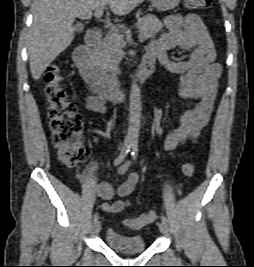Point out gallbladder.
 Returning a JSON list of instances; mask_svg holds the SVG:
<instances>
[{"label":"gallbladder","instance_id":"gallbladder-1","mask_svg":"<svg viewBox=\"0 0 254 267\" xmlns=\"http://www.w3.org/2000/svg\"><path fill=\"white\" fill-rule=\"evenodd\" d=\"M75 31H81L83 29V25L81 23H78L74 26Z\"/></svg>","mask_w":254,"mask_h":267}]
</instances>
